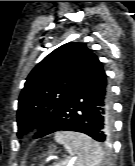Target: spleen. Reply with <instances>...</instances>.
I'll return each mask as SVG.
<instances>
[{"label":"spleen","instance_id":"3e777b00","mask_svg":"<svg viewBox=\"0 0 135 166\" xmlns=\"http://www.w3.org/2000/svg\"><path fill=\"white\" fill-rule=\"evenodd\" d=\"M55 140L74 157L73 166H100L103 161L104 152L100 144L85 134L57 132Z\"/></svg>","mask_w":135,"mask_h":166}]
</instances>
